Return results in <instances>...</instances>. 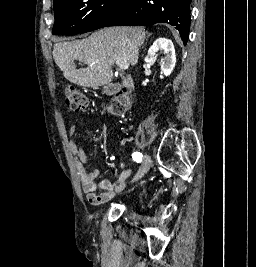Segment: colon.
Here are the masks:
<instances>
[{"label": "colon", "instance_id": "colon-1", "mask_svg": "<svg viewBox=\"0 0 256 267\" xmlns=\"http://www.w3.org/2000/svg\"><path fill=\"white\" fill-rule=\"evenodd\" d=\"M64 103L72 111H85L89 101L85 93L78 88H66L64 91ZM130 108V98L126 95H119L108 103V109L117 115H123Z\"/></svg>", "mask_w": 256, "mask_h": 267}]
</instances>
